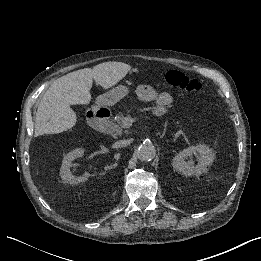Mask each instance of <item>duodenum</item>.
Returning a JSON list of instances; mask_svg holds the SVG:
<instances>
[{"mask_svg": "<svg viewBox=\"0 0 261 261\" xmlns=\"http://www.w3.org/2000/svg\"><path fill=\"white\" fill-rule=\"evenodd\" d=\"M110 116V109L105 104H98L86 113V120L93 129H100L104 126L105 121Z\"/></svg>", "mask_w": 261, "mask_h": 261, "instance_id": "410a0bca", "label": "duodenum"}]
</instances>
